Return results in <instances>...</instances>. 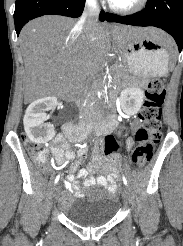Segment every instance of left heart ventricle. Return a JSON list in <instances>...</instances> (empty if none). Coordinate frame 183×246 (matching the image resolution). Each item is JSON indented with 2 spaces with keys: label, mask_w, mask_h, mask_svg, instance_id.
<instances>
[{
  "label": "left heart ventricle",
  "mask_w": 183,
  "mask_h": 246,
  "mask_svg": "<svg viewBox=\"0 0 183 246\" xmlns=\"http://www.w3.org/2000/svg\"><path fill=\"white\" fill-rule=\"evenodd\" d=\"M112 1L120 6H129L133 4L136 0H112Z\"/></svg>",
  "instance_id": "obj_1"
}]
</instances>
